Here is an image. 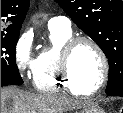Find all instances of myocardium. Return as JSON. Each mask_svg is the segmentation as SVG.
<instances>
[{
	"label": "myocardium",
	"mask_w": 123,
	"mask_h": 113,
	"mask_svg": "<svg viewBox=\"0 0 123 113\" xmlns=\"http://www.w3.org/2000/svg\"><path fill=\"white\" fill-rule=\"evenodd\" d=\"M82 43H87L95 49L101 60V66H102L101 78L97 86L89 91L77 86L74 83L72 79L71 69H70L72 56L75 50L78 48V46ZM60 71L66 84L72 90L78 92L81 95L93 96L99 93L107 83L109 77V62L104 50L102 49L100 44L97 41H95L93 38L88 36H74L69 38L62 47L61 57H60Z\"/></svg>",
	"instance_id": "f54148a6"
}]
</instances>
